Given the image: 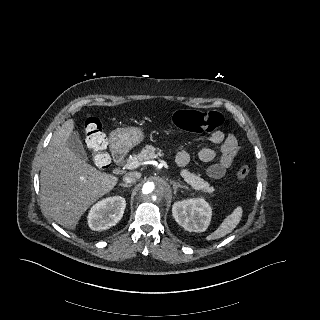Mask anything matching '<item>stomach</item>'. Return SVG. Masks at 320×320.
Masks as SVG:
<instances>
[{"label": "stomach", "mask_w": 320, "mask_h": 320, "mask_svg": "<svg viewBox=\"0 0 320 320\" xmlns=\"http://www.w3.org/2000/svg\"><path fill=\"white\" fill-rule=\"evenodd\" d=\"M143 139V130L137 127L118 128L112 131L109 137L111 145L122 150L138 145Z\"/></svg>", "instance_id": "0dacf381"}]
</instances>
